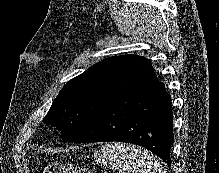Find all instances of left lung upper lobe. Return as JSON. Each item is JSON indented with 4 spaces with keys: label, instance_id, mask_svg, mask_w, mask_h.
<instances>
[{
    "label": "left lung upper lobe",
    "instance_id": "obj_1",
    "mask_svg": "<svg viewBox=\"0 0 219 173\" xmlns=\"http://www.w3.org/2000/svg\"><path fill=\"white\" fill-rule=\"evenodd\" d=\"M146 62L141 56L121 55L96 63L62 88L43 122L57 127L65 142H74L138 78Z\"/></svg>",
    "mask_w": 219,
    "mask_h": 173
}]
</instances>
